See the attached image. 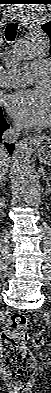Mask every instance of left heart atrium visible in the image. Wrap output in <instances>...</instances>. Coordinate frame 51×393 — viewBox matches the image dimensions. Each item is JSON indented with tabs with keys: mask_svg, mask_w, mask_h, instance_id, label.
<instances>
[{
	"mask_svg": "<svg viewBox=\"0 0 51 393\" xmlns=\"http://www.w3.org/2000/svg\"><path fill=\"white\" fill-rule=\"evenodd\" d=\"M7 108L25 126L45 127L51 122V97L44 89H29L10 95Z\"/></svg>",
	"mask_w": 51,
	"mask_h": 393,
	"instance_id": "39dd6f15",
	"label": "left heart atrium"
}]
</instances>
